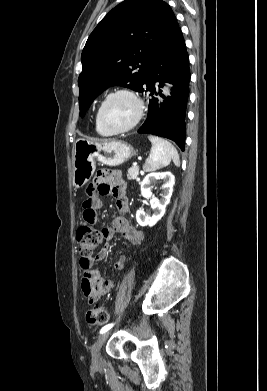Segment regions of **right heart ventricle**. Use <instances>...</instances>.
Instances as JSON below:
<instances>
[{"instance_id":"1","label":"right heart ventricle","mask_w":267,"mask_h":391,"mask_svg":"<svg viewBox=\"0 0 267 391\" xmlns=\"http://www.w3.org/2000/svg\"><path fill=\"white\" fill-rule=\"evenodd\" d=\"M94 124H95V130L96 132L101 135V136H110L112 135V133L106 131L99 123L98 121V118H97V114L95 116V120H94Z\"/></svg>"}]
</instances>
